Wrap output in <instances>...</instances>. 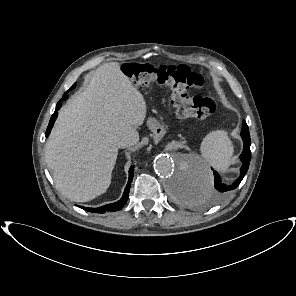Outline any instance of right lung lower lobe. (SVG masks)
Instances as JSON below:
<instances>
[{"label": "right lung lower lobe", "mask_w": 296, "mask_h": 296, "mask_svg": "<svg viewBox=\"0 0 296 296\" xmlns=\"http://www.w3.org/2000/svg\"><path fill=\"white\" fill-rule=\"evenodd\" d=\"M74 87H75V84L68 91H70ZM68 91L64 94L63 99L67 98ZM60 107H61V101H59L57 103L55 112L51 116L49 125H48L46 133H45L46 137L50 134V131H51V129L53 127V124H54V122H55V120L57 118V115H58L57 111L60 109ZM133 176H134V166H131V168L129 170V179H128L127 186H126V188L124 190V194H123L122 198L118 202L107 204V205H104V206L98 207V208H86V207H83V206H80V207L82 209L86 210V211L95 212V213L115 212V211L120 210L126 204V202L128 200V194H129L130 185H131Z\"/></svg>", "instance_id": "obj_1"}]
</instances>
